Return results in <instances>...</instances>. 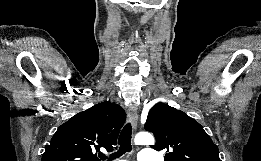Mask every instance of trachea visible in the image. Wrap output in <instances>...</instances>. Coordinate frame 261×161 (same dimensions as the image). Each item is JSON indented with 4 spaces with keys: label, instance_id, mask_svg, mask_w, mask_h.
<instances>
[{
    "label": "trachea",
    "instance_id": "trachea-1",
    "mask_svg": "<svg viewBox=\"0 0 261 161\" xmlns=\"http://www.w3.org/2000/svg\"><path fill=\"white\" fill-rule=\"evenodd\" d=\"M131 137H132V127L131 124H126L122 129L119 136V150L110 155V159H116L125 154L126 152H130L132 150L131 145ZM106 156H101L102 160H105ZM110 159L108 161H110Z\"/></svg>",
    "mask_w": 261,
    "mask_h": 161
}]
</instances>
